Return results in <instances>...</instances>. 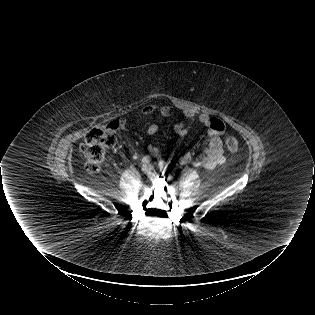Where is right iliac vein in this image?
Returning a JSON list of instances; mask_svg holds the SVG:
<instances>
[{
  "instance_id": "1",
  "label": "right iliac vein",
  "mask_w": 315,
  "mask_h": 315,
  "mask_svg": "<svg viewBox=\"0 0 315 315\" xmlns=\"http://www.w3.org/2000/svg\"><path fill=\"white\" fill-rule=\"evenodd\" d=\"M142 171L145 174H149L151 172V166L150 165H143Z\"/></svg>"
}]
</instances>
